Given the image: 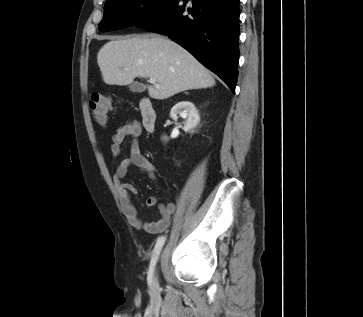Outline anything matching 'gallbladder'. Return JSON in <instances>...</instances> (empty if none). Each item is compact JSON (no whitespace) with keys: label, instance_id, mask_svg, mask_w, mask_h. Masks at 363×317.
<instances>
[{"label":"gallbladder","instance_id":"bac80fb5","mask_svg":"<svg viewBox=\"0 0 363 317\" xmlns=\"http://www.w3.org/2000/svg\"><path fill=\"white\" fill-rule=\"evenodd\" d=\"M129 90L133 93H140L145 90V87L142 83L133 82L129 85Z\"/></svg>","mask_w":363,"mask_h":317}]
</instances>
